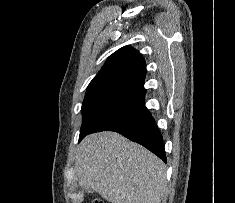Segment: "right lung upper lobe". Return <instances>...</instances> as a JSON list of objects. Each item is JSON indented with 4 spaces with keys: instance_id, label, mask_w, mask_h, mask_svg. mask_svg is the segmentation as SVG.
Returning a JSON list of instances; mask_svg holds the SVG:
<instances>
[{
    "instance_id": "cb5924a9",
    "label": "right lung upper lobe",
    "mask_w": 235,
    "mask_h": 203,
    "mask_svg": "<svg viewBox=\"0 0 235 203\" xmlns=\"http://www.w3.org/2000/svg\"><path fill=\"white\" fill-rule=\"evenodd\" d=\"M146 64L142 55L130 46L112 54L87 88L108 84L144 85Z\"/></svg>"
}]
</instances>
